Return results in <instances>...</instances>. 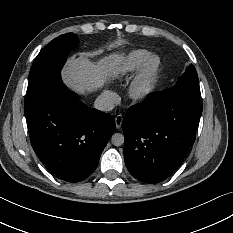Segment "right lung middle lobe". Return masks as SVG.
Returning <instances> with one entry per match:
<instances>
[{
	"instance_id": "1",
	"label": "right lung middle lobe",
	"mask_w": 233,
	"mask_h": 233,
	"mask_svg": "<svg viewBox=\"0 0 233 233\" xmlns=\"http://www.w3.org/2000/svg\"><path fill=\"white\" fill-rule=\"evenodd\" d=\"M77 43V36L67 33L53 39L40 51L30 70L26 106L38 100L60 80L67 55L77 47Z\"/></svg>"
}]
</instances>
